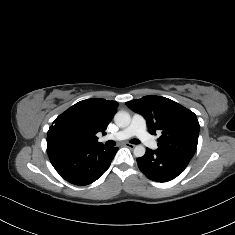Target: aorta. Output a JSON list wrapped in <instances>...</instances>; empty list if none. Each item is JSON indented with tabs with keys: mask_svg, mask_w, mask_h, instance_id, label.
<instances>
[{
	"mask_svg": "<svg viewBox=\"0 0 235 235\" xmlns=\"http://www.w3.org/2000/svg\"><path fill=\"white\" fill-rule=\"evenodd\" d=\"M114 121L115 124L120 127V128H124L130 125L131 123V116L128 112L121 110L118 111L115 116H114ZM146 152L145 147L142 144H138L135 146L134 148V155L136 157H142L144 156Z\"/></svg>",
	"mask_w": 235,
	"mask_h": 235,
	"instance_id": "aorta-1",
	"label": "aorta"
}]
</instances>
